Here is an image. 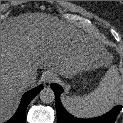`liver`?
Wrapping results in <instances>:
<instances>
[{
    "mask_svg": "<svg viewBox=\"0 0 123 123\" xmlns=\"http://www.w3.org/2000/svg\"><path fill=\"white\" fill-rule=\"evenodd\" d=\"M103 51L90 34L48 14L27 13L1 23V123L15 113L37 69L70 77L95 66ZM28 72L29 81L21 74Z\"/></svg>",
    "mask_w": 123,
    "mask_h": 123,
    "instance_id": "6515ba94",
    "label": "liver"
}]
</instances>
